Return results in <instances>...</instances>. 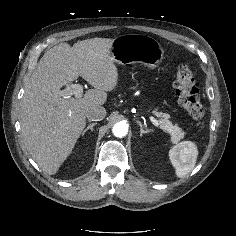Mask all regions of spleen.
Instances as JSON below:
<instances>
[{
	"label": "spleen",
	"mask_w": 236,
	"mask_h": 236,
	"mask_svg": "<svg viewBox=\"0 0 236 236\" xmlns=\"http://www.w3.org/2000/svg\"><path fill=\"white\" fill-rule=\"evenodd\" d=\"M198 156L196 145L190 141H183L170 150V157L179 178L187 175L195 166Z\"/></svg>",
	"instance_id": "1"
}]
</instances>
